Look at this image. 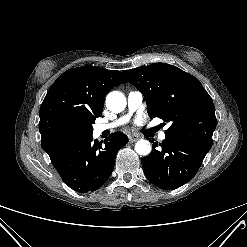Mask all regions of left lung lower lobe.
I'll return each mask as SVG.
<instances>
[{"label": "left lung lower lobe", "instance_id": "left-lung-lower-lobe-1", "mask_svg": "<svg viewBox=\"0 0 247 247\" xmlns=\"http://www.w3.org/2000/svg\"><path fill=\"white\" fill-rule=\"evenodd\" d=\"M142 159L145 176L159 188L174 190L190 181L200 168L209 149L194 142L166 137L157 150Z\"/></svg>", "mask_w": 247, "mask_h": 247}]
</instances>
